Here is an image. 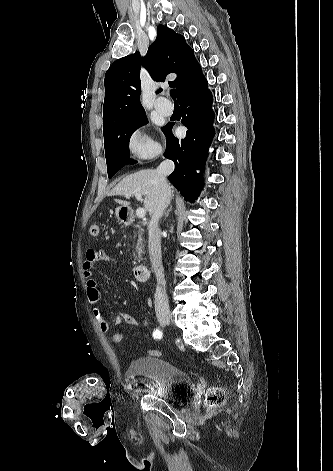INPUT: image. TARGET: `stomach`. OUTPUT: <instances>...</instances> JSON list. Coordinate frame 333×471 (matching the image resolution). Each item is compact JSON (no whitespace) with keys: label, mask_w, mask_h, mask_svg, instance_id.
<instances>
[{"label":"stomach","mask_w":333,"mask_h":471,"mask_svg":"<svg viewBox=\"0 0 333 471\" xmlns=\"http://www.w3.org/2000/svg\"><path fill=\"white\" fill-rule=\"evenodd\" d=\"M122 210H123L122 207H119V208L116 209V216L119 220H122V215H121Z\"/></svg>","instance_id":"stomach-1"}]
</instances>
